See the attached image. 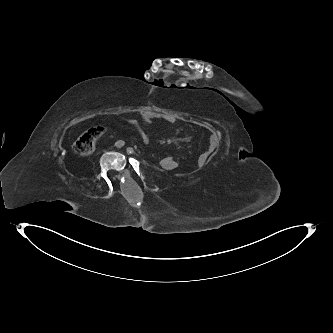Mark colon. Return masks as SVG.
Returning <instances> with one entry per match:
<instances>
[{"label": "colon", "instance_id": "obj_1", "mask_svg": "<svg viewBox=\"0 0 333 333\" xmlns=\"http://www.w3.org/2000/svg\"><path fill=\"white\" fill-rule=\"evenodd\" d=\"M104 128L92 127L81 134L73 144V151L79 156H89L95 148L97 140L103 135ZM173 158L170 155L160 159L159 164L162 167L172 163Z\"/></svg>", "mask_w": 333, "mask_h": 333}]
</instances>
